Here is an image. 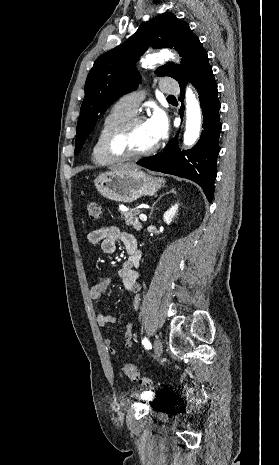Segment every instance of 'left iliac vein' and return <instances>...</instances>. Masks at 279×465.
Segmentation results:
<instances>
[{"instance_id":"4c4485c4","label":"left iliac vein","mask_w":279,"mask_h":465,"mask_svg":"<svg viewBox=\"0 0 279 465\" xmlns=\"http://www.w3.org/2000/svg\"><path fill=\"white\" fill-rule=\"evenodd\" d=\"M153 348H154L155 356L157 358L160 357V355L162 354V351H163V345H162V342L159 339H155L154 344H153Z\"/></svg>"}]
</instances>
